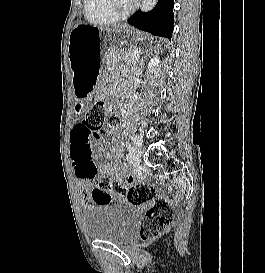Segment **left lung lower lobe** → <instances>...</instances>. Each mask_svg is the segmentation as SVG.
Returning <instances> with one entry per match:
<instances>
[{
  "instance_id": "1",
  "label": "left lung lower lobe",
  "mask_w": 265,
  "mask_h": 273,
  "mask_svg": "<svg viewBox=\"0 0 265 273\" xmlns=\"http://www.w3.org/2000/svg\"><path fill=\"white\" fill-rule=\"evenodd\" d=\"M173 7L174 0H158L151 11L145 13L139 10L128 20V23L139 30L171 40L174 23Z\"/></svg>"
}]
</instances>
